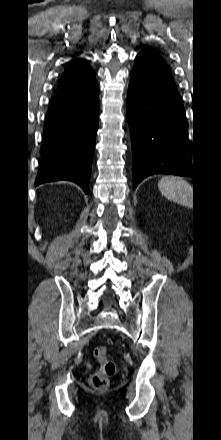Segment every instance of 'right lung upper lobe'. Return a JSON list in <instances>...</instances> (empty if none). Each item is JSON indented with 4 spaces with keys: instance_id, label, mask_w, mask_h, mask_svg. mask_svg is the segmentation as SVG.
<instances>
[{
    "instance_id": "obj_1",
    "label": "right lung upper lobe",
    "mask_w": 221,
    "mask_h": 440,
    "mask_svg": "<svg viewBox=\"0 0 221 440\" xmlns=\"http://www.w3.org/2000/svg\"><path fill=\"white\" fill-rule=\"evenodd\" d=\"M95 72L84 59L70 63L59 82L58 88L72 87L87 83L94 79Z\"/></svg>"
}]
</instances>
